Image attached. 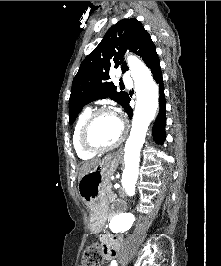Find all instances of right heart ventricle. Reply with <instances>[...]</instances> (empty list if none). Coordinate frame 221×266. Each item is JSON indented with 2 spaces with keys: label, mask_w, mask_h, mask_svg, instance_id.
<instances>
[{
  "label": "right heart ventricle",
  "mask_w": 221,
  "mask_h": 266,
  "mask_svg": "<svg viewBox=\"0 0 221 266\" xmlns=\"http://www.w3.org/2000/svg\"><path fill=\"white\" fill-rule=\"evenodd\" d=\"M90 109H84L80 115L78 116L74 131H73V146L74 149L77 153V155L81 158V159H90L92 158L95 153H91L86 151L80 142V132H81V128L82 125L84 123V121L86 120V118L88 117V115L90 114Z\"/></svg>",
  "instance_id": "e07e8e85"
}]
</instances>
